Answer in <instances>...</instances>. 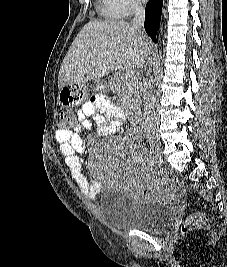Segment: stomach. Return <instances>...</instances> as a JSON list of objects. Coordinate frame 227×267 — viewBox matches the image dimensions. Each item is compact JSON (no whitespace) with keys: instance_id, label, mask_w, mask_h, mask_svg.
I'll use <instances>...</instances> for the list:
<instances>
[{"instance_id":"stomach-1","label":"stomach","mask_w":227,"mask_h":267,"mask_svg":"<svg viewBox=\"0 0 227 267\" xmlns=\"http://www.w3.org/2000/svg\"><path fill=\"white\" fill-rule=\"evenodd\" d=\"M101 90H108V85H101ZM89 87L84 82H66V87H61L56 96V101H62L61 107H78L87 99Z\"/></svg>"}]
</instances>
